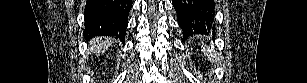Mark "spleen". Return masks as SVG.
<instances>
[{"label": "spleen", "mask_w": 307, "mask_h": 83, "mask_svg": "<svg viewBox=\"0 0 307 83\" xmlns=\"http://www.w3.org/2000/svg\"><path fill=\"white\" fill-rule=\"evenodd\" d=\"M202 51L204 52V54L208 57V60L210 62L216 63L217 62V57L214 54L213 50L208 46H202Z\"/></svg>", "instance_id": "obj_1"}]
</instances>
